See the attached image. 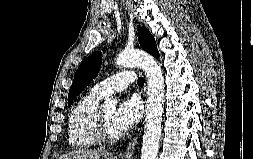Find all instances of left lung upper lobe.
Instances as JSON below:
<instances>
[{"mask_svg":"<svg viewBox=\"0 0 253 159\" xmlns=\"http://www.w3.org/2000/svg\"><path fill=\"white\" fill-rule=\"evenodd\" d=\"M138 40L141 47L158 58L159 52L152 34L145 28H138ZM102 62V53L95 52L88 56L77 69L68 94V107L74 98L97 76Z\"/></svg>","mask_w":253,"mask_h":159,"instance_id":"5c2ea615","label":"left lung upper lobe"}]
</instances>
